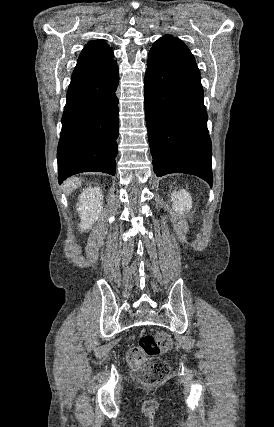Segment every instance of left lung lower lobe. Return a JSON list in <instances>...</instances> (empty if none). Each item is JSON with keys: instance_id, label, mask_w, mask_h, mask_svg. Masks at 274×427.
<instances>
[{"instance_id": "left-lung-lower-lobe-1", "label": "left lung lower lobe", "mask_w": 274, "mask_h": 427, "mask_svg": "<svg viewBox=\"0 0 274 427\" xmlns=\"http://www.w3.org/2000/svg\"><path fill=\"white\" fill-rule=\"evenodd\" d=\"M144 96L156 175L193 174L212 186V147L200 72L181 40L164 36L154 43L148 55Z\"/></svg>"}]
</instances>
